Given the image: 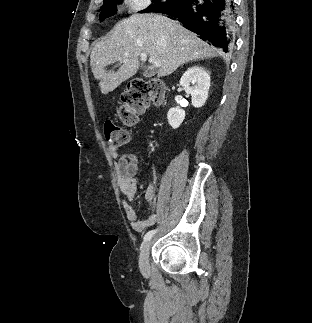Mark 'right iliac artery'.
Here are the masks:
<instances>
[{"mask_svg": "<svg viewBox=\"0 0 312 323\" xmlns=\"http://www.w3.org/2000/svg\"><path fill=\"white\" fill-rule=\"evenodd\" d=\"M155 233H156V230L148 231L144 236V242L150 240Z\"/></svg>", "mask_w": 312, "mask_h": 323, "instance_id": "1", "label": "right iliac artery"}]
</instances>
